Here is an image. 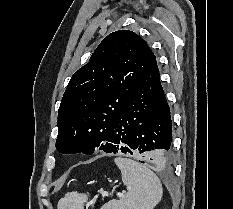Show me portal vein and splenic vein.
<instances>
[{
	"label": "portal vein and splenic vein",
	"mask_w": 233,
	"mask_h": 209,
	"mask_svg": "<svg viewBox=\"0 0 233 209\" xmlns=\"http://www.w3.org/2000/svg\"><path fill=\"white\" fill-rule=\"evenodd\" d=\"M105 194L103 193V196H104ZM118 196H122V193H118Z\"/></svg>",
	"instance_id": "portal-vein-and-splenic-vein-1"
}]
</instances>
